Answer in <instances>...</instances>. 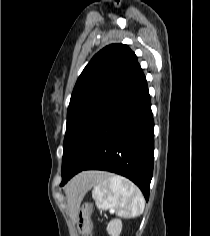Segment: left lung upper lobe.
Returning a JSON list of instances; mask_svg holds the SVG:
<instances>
[{
  "label": "left lung upper lobe",
  "mask_w": 210,
  "mask_h": 236,
  "mask_svg": "<svg viewBox=\"0 0 210 236\" xmlns=\"http://www.w3.org/2000/svg\"><path fill=\"white\" fill-rule=\"evenodd\" d=\"M142 73L137 56L124 44L106 46L91 59L71 95L62 166L88 125Z\"/></svg>",
  "instance_id": "obj_1"
}]
</instances>
